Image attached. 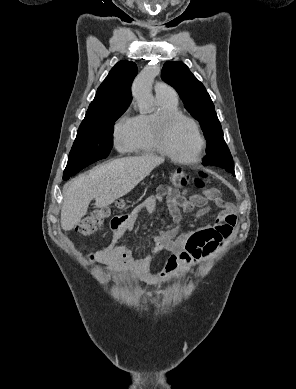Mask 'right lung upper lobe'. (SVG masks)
<instances>
[{
    "instance_id": "1",
    "label": "right lung upper lobe",
    "mask_w": 296,
    "mask_h": 389,
    "mask_svg": "<svg viewBox=\"0 0 296 389\" xmlns=\"http://www.w3.org/2000/svg\"><path fill=\"white\" fill-rule=\"evenodd\" d=\"M137 75V66L132 61H120L109 72L97 89L85 118L108 112L115 108L128 107L132 95L131 84Z\"/></svg>"
}]
</instances>
